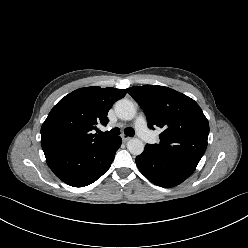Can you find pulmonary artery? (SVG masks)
<instances>
[{"label":"pulmonary artery","mask_w":248,"mask_h":248,"mask_svg":"<svg viewBox=\"0 0 248 248\" xmlns=\"http://www.w3.org/2000/svg\"><path fill=\"white\" fill-rule=\"evenodd\" d=\"M135 129L139 137L145 142H152L154 140L153 132L148 128L146 118L143 115H139L135 122Z\"/></svg>","instance_id":"pulmonary-artery-1"}]
</instances>
